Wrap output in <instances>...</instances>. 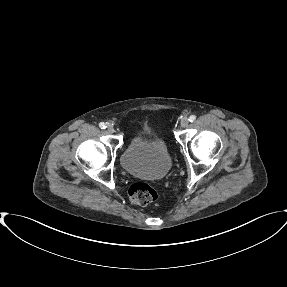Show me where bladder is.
I'll return each instance as SVG.
<instances>
[{"mask_svg":"<svg viewBox=\"0 0 287 287\" xmlns=\"http://www.w3.org/2000/svg\"><path fill=\"white\" fill-rule=\"evenodd\" d=\"M121 165L134 176L161 178L172 167V157L162 140L154 139L148 129L133 137L121 155Z\"/></svg>","mask_w":287,"mask_h":287,"instance_id":"31cf9c89","label":"bladder"}]
</instances>
